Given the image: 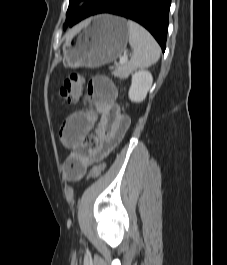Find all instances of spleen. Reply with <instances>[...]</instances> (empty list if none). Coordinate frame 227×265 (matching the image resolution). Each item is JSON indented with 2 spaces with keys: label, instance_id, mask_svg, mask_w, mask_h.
Instances as JSON below:
<instances>
[{
  "label": "spleen",
  "instance_id": "1",
  "mask_svg": "<svg viewBox=\"0 0 227 265\" xmlns=\"http://www.w3.org/2000/svg\"><path fill=\"white\" fill-rule=\"evenodd\" d=\"M129 44L133 48L130 65L133 69L148 68L156 63L161 49L153 36L142 26L128 20Z\"/></svg>",
  "mask_w": 227,
  "mask_h": 265
}]
</instances>
